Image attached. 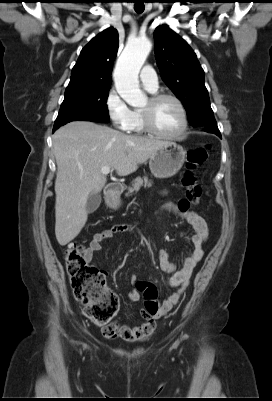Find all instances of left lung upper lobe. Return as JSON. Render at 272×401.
<instances>
[{"label":"left lung upper lobe","mask_w":272,"mask_h":401,"mask_svg":"<svg viewBox=\"0 0 272 401\" xmlns=\"http://www.w3.org/2000/svg\"><path fill=\"white\" fill-rule=\"evenodd\" d=\"M155 58L165 84L183 103L193 127L216 124L204 71L187 42L165 25L154 31Z\"/></svg>","instance_id":"1"}]
</instances>
